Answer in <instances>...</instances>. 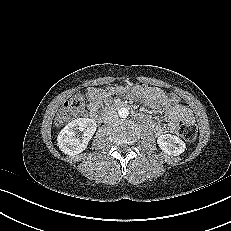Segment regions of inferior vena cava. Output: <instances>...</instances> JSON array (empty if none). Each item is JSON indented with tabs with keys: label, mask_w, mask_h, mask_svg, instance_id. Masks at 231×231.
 Returning <instances> with one entry per match:
<instances>
[{
	"label": "inferior vena cava",
	"mask_w": 231,
	"mask_h": 231,
	"mask_svg": "<svg viewBox=\"0 0 231 231\" xmlns=\"http://www.w3.org/2000/svg\"><path fill=\"white\" fill-rule=\"evenodd\" d=\"M102 119L105 123H112L118 119V114L115 110H107L103 115Z\"/></svg>",
	"instance_id": "inferior-vena-cava-1"
}]
</instances>
